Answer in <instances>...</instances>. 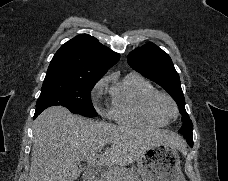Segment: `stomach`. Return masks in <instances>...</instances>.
Returning a JSON list of instances; mask_svg holds the SVG:
<instances>
[{
	"label": "stomach",
	"mask_w": 228,
	"mask_h": 181,
	"mask_svg": "<svg viewBox=\"0 0 228 181\" xmlns=\"http://www.w3.org/2000/svg\"><path fill=\"white\" fill-rule=\"evenodd\" d=\"M177 149L171 145H150L137 161L141 181H186Z\"/></svg>",
	"instance_id": "0dacf381"
}]
</instances>
